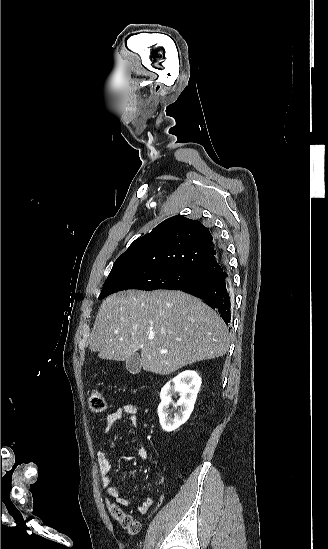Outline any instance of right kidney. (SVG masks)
Instances as JSON below:
<instances>
[{"label": "right kidney", "mask_w": 328, "mask_h": 549, "mask_svg": "<svg viewBox=\"0 0 328 549\" xmlns=\"http://www.w3.org/2000/svg\"><path fill=\"white\" fill-rule=\"evenodd\" d=\"M201 383L202 381L196 371H183V373H179L177 377L164 385L161 389V403L158 407L160 425L164 431L171 433V431H175L180 425L188 421L194 409ZM175 393L180 395L176 405L177 407L181 405L182 409L179 415L171 419V417H168L170 415L169 405L172 403V397Z\"/></svg>", "instance_id": "obj_1"}]
</instances>
